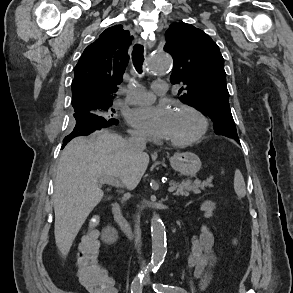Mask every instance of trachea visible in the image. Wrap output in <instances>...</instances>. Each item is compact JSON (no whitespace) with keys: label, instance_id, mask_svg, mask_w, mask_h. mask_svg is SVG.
Here are the masks:
<instances>
[{"label":"trachea","instance_id":"obj_1","mask_svg":"<svg viewBox=\"0 0 293 293\" xmlns=\"http://www.w3.org/2000/svg\"><path fill=\"white\" fill-rule=\"evenodd\" d=\"M143 53H144L143 46L140 44H136L132 51V60H133L134 67L139 74L142 73V65L144 61Z\"/></svg>","mask_w":293,"mask_h":293}]
</instances>
